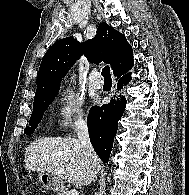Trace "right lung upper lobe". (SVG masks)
Listing matches in <instances>:
<instances>
[{"instance_id":"right-lung-upper-lobe-1","label":"right lung upper lobe","mask_w":189,"mask_h":195,"mask_svg":"<svg viewBox=\"0 0 189 195\" xmlns=\"http://www.w3.org/2000/svg\"><path fill=\"white\" fill-rule=\"evenodd\" d=\"M83 54L90 63L98 64L101 60L109 63L117 77L133 67L132 47L125 36L107 23H101L93 39L79 43L67 37L48 49L40 64L34 103L56 95L62 78Z\"/></svg>"}]
</instances>
